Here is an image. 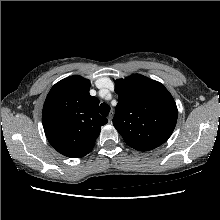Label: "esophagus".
<instances>
[{"mask_svg": "<svg viewBox=\"0 0 220 220\" xmlns=\"http://www.w3.org/2000/svg\"><path fill=\"white\" fill-rule=\"evenodd\" d=\"M112 117H113V112H110V114H109L108 117H107L109 122H111Z\"/></svg>", "mask_w": 220, "mask_h": 220, "instance_id": "obj_1", "label": "esophagus"}]
</instances>
